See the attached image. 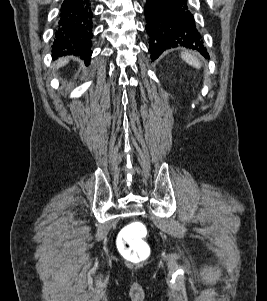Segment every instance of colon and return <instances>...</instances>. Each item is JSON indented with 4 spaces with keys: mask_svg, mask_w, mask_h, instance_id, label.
<instances>
[{
    "mask_svg": "<svg viewBox=\"0 0 267 301\" xmlns=\"http://www.w3.org/2000/svg\"><path fill=\"white\" fill-rule=\"evenodd\" d=\"M146 226L141 221H133L125 226L118 239L122 256L130 262L140 263L148 259L150 248L145 241Z\"/></svg>",
    "mask_w": 267,
    "mask_h": 301,
    "instance_id": "1",
    "label": "colon"
}]
</instances>
